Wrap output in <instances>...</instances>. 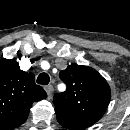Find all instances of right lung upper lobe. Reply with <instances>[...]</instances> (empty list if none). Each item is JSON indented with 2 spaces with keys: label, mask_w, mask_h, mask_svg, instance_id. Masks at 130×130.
Masks as SVG:
<instances>
[{
  "label": "right lung upper lobe",
  "mask_w": 130,
  "mask_h": 130,
  "mask_svg": "<svg viewBox=\"0 0 130 130\" xmlns=\"http://www.w3.org/2000/svg\"><path fill=\"white\" fill-rule=\"evenodd\" d=\"M46 97L44 89L35 84L34 74L20 70L14 59H0V129L22 125L33 102Z\"/></svg>",
  "instance_id": "cb5924a9"
}]
</instances>
